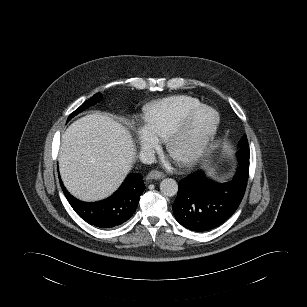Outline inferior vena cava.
<instances>
[{"instance_id": "1", "label": "inferior vena cava", "mask_w": 307, "mask_h": 307, "mask_svg": "<svg viewBox=\"0 0 307 307\" xmlns=\"http://www.w3.org/2000/svg\"><path fill=\"white\" fill-rule=\"evenodd\" d=\"M139 160L144 164H152L155 161V155L151 151H141Z\"/></svg>"}]
</instances>
